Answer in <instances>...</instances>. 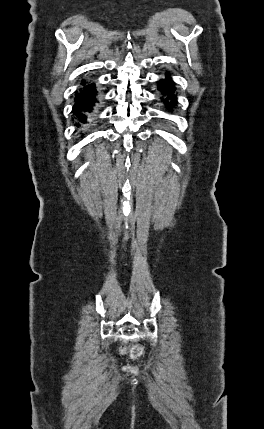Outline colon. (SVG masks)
<instances>
[{
  "mask_svg": "<svg viewBox=\"0 0 264 429\" xmlns=\"http://www.w3.org/2000/svg\"><path fill=\"white\" fill-rule=\"evenodd\" d=\"M123 351L125 353H129L132 357H139L142 354L143 349L140 346H133L130 348H124Z\"/></svg>",
  "mask_w": 264,
  "mask_h": 429,
  "instance_id": "obj_1",
  "label": "colon"
}]
</instances>
